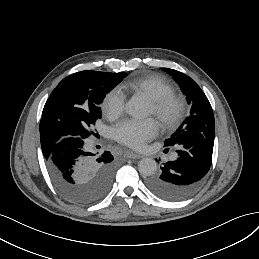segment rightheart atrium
<instances>
[{
    "label": "right heart atrium",
    "instance_id": "d8ad5b80",
    "mask_svg": "<svg viewBox=\"0 0 259 259\" xmlns=\"http://www.w3.org/2000/svg\"><path fill=\"white\" fill-rule=\"evenodd\" d=\"M105 106L110 115L118 116L125 109V99L116 89L112 90L105 98Z\"/></svg>",
    "mask_w": 259,
    "mask_h": 259
}]
</instances>
